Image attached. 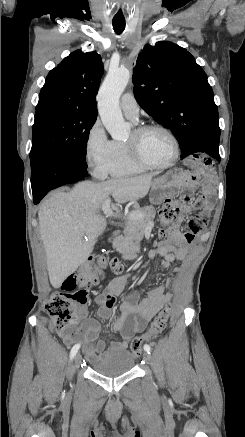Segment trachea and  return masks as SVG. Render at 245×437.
I'll return each instance as SVG.
<instances>
[{
	"instance_id": "obj_1",
	"label": "trachea",
	"mask_w": 245,
	"mask_h": 437,
	"mask_svg": "<svg viewBox=\"0 0 245 437\" xmlns=\"http://www.w3.org/2000/svg\"><path fill=\"white\" fill-rule=\"evenodd\" d=\"M112 24H113L114 31L117 34H121L124 31L125 26H126V23L121 22V21H113Z\"/></svg>"
}]
</instances>
